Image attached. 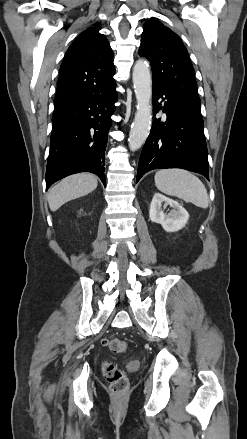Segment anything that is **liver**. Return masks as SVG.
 <instances>
[{
	"label": "liver",
	"instance_id": "6515ba94",
	"mask_svg": "<svg viewBox=\"0 0 247 439\" xmlns=\"http://www.w3.org/2000/svg\"><path fill=\"white\" fill-rule=\"evenodd\" d=\"M97 185V178L90 173H78L62 179L48 192L50 210L55 212L66 202L91 193Z\"/></svg>",
	"mask_w": 247,
	"mask_h": 439
}]
</instances>
